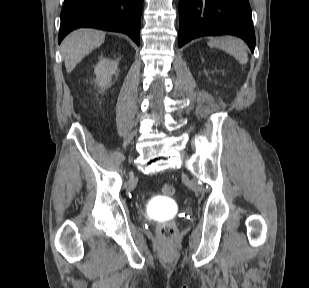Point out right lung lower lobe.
Returning a JSON list of instances; mask_svg holds the SVG:
<instances>
[{"instance_id":"right-lung-lower-lobe-1","label":"right lung lower lobe","mask_w":309,"mask_h":288,"mask_svg":"<svg viewBox=\"0 0 309 288\" xmlns=\"http://www.w3.org/2000/svg\"><path fill=\"white\" fill-rule=\"evenodd\" d=\"M143 0H65L61 12L58 42L82 27L122 32L137 45Z\"/></svg>"}]
</instances>
